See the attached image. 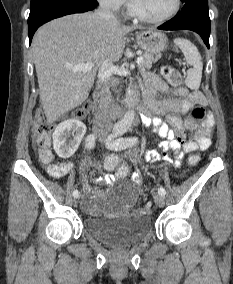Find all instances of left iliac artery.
<instances>
[{"label":"left iliac artery","instance_id":"1","mask_svg":"<svg viewBox=\"0 0 233 284\" xmlns=\"http://www.w3.org/2000/svg\"><path fill=\"white\" fill-rule=\"evenodd\" d=\"M123 133H124L123 130L117 129L113 134L109 135L106 140L107 147L109 149L117 151L121 149H126L127 147H130L137 142V139L135 137L120 138L119 136H122ZM158 193L164 196L166 194V191L163 187H160L158 189Z\"/></svg>","mask_w":233,"mask_h":284}]
</instances>
